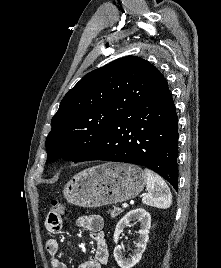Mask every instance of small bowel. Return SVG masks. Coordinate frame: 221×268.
Here are the masks:
<instances>
[{"mask_svg": "<svg viewBox=\"0 0 221 268\" xmlns=\"http://www.w3.org/2000/svg\"><path fill=\"white\" fill-rule=\"evenodd\" d=\"M76 223L77 226L88 230L91 238L96 242L94 258L83 262L79 268H104L108 261L109 250L103 231V218L97 214L85 215L79 217ZM45 227L51 233L59 232L63 227L62 218L49 213L45 221ZM46 250L50 255L52 268H67L66 264L59 259L61 245L56 239L47 240Z\"/></svg>", "mask_w": 221, "mask_h": 268, "instance_id": "1", "label": "small bowel"}]
</instances>
